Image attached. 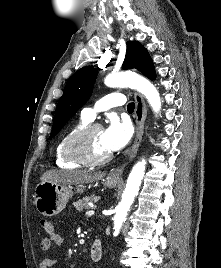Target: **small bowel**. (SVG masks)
I'll list each match as a JSON object with an SVG mask.
<instances>
[{
    "label": "small bowel",
    "instance_id": "obj_1",
    "mask_svg": "<svg viewBox=\"0 0 221 268\" xmlns=\"http://www.w3.org/2000/svg\"><path fill=\"white\" fill-rule=\"evenodd\" d=\"M63 243V238L60 234L55 232L53 229L51 232L47 233V236L40 241V249L44 252L49 251L53 246H61ZM56 265V260L52 258L43 259L39 268H54Z\"/></svg>",
    "mask_w": 221,
    "mask_h": 268
}]
</instances>
